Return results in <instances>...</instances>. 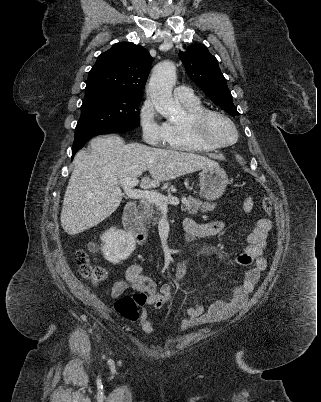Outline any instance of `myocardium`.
<instances>
[{
	"mask_svg": "<svg viewBox=\"0 0 321 402\" xmlns=\"http://www.w3.org/2000/svg\"><path fill=\"white\" fill-rule=\"evenodd\" d=\"M214 116L223 119L231 126V128L233 129V132H234V139L232 141L222 143V142H218V141L212 139L208 135V133L206 132V125H207L208 120ZM190 126H191L192 132L194 133L195 137L201 143H203L204 145H206L212 149H223V148L230 147V146L234 145L239 138L238 129H237L235 123L232 121V119L225 113H223L219 110H215V109L205 108V109L199 111L198 113H196L195 115H193L190 119Z\"/></svg>",
	"mask_w": 321,
	"mask_h": 402,
	"instance_id": "f54148a6",
	"label": "myocardium"
}]
</instances>
